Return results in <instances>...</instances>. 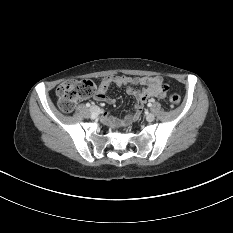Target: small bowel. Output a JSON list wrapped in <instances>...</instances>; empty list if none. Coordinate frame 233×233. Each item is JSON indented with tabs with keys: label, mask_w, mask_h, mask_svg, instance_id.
I'll return each mask as SVG.
<instances>
[{
	"label": "small bowel",
	"mask_w": 233,
	"mask_h": 233,
	"mask_svg": "<svg viewBox=\"0 0 233 233\" xmlns=\"http://www.w3.org/2000/svg\"><path fill=\"white\" fill-rule=\"evenodd\" d=\"M127 86L126 92L128 95L136 99V104L131 114L127 115L123 122L130 123L139 118L145 102L150 98L161 99L166 94V87L163 84V79L160 76L151 77H132L126 75H109L101 80L97 91L94 94V99L108 104H113L114 99L107 95L110 85ZM140 86V89L135 88ZM103 119L109 125H115V120L104 114Z\"/></svg>",
	"instance_id": "1"
}]
</instances>
